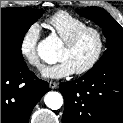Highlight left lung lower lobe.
<instances>
[{
	"label": "left lung lower lobe",
	"instance_id": "obj_1",
	"mask_svg": "<svg viewBox=\"0 0 123 123\" xmlns=\"http://www.w3.org/2000/svg\"><path fill=\"white\" fill-rule=\"evenodd\" d=\"M63 123H123V58L94 66L75 81L60 84Z\"/></svg>",
	"mask_w": 123,
	"mask_h": 123
}]
</instances>
